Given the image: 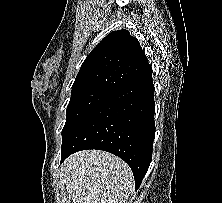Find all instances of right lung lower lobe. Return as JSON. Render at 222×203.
<instances>
[{
	"label": "right lung lower lobe",
	"mask_w": 222,
	"mask_h": 203,
	"mask_svg": "<svg viewBox=\"0 0 222 203\" xmlns=\"http://www.w3.org/2000/svg\"><path fill=\"white\" fill-rule=\"evenodd\" d=\"M154 113V86L149 66L63 136L61 162L80 150L110 152L130 166L137 190L152 159Z\"/></svg>",
	"instance_id": "1"
}]
</instances>
